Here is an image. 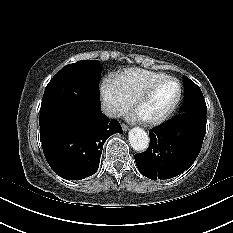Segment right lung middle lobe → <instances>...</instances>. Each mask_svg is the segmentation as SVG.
Returning <instances> with one entry per match:
<instances>
[{"label":"right lung middle lobe","mask_w":233,"mask_h":233,"mask_svg":"<svg viewBox=\"0 0 233 233\" xmlns=\"http://www.w3.org/2000/svg\"><path fill=\"white\" fill-rule=\"evenodd\" d=\"M102 65L82 60L63 67L47 85L40 110L39 125L59 120H76L80 99L99 100Z\"/></svg>","instance_id":"obj_1"}]
</instances>
